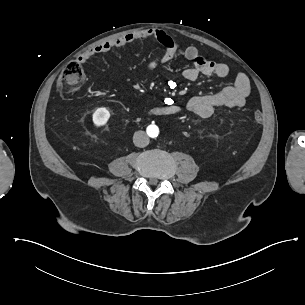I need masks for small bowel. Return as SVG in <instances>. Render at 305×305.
<instances>
[{
	"label": "small bowel",
	"mask_w": 305,
	"mask_h": 305,
	"mask_svg": "<svg viewBox=\"0 0 305 305\" xmlns=\"http://www.w3.org/2000/svg\"><path fill=\"white\" fill-rule=\"evenodd\" d=\"M149 38H154L164 47L162 53L147 63L146 68L149 71H153L179 56L192 62V65L183 72V77L187 81L193 82L201 75H215L219 78H226L230 73V69L226 64L204 57L194 46H181L168 33L159 29H146L127 33L112 40L102 42L86 52L79 53L78 58L81 61L90 60L95 55ZM250 91L251 87L248 77L245 74L239 73L236 75L232 85L214 93L191 97L186 102L184 108L201 118H207L219 107H243ZM159 109L165 114L173 115L181 112L183 107L177 104L171 97H168Z\"/></svg>",
	"instance_id": "c3829d8e"
}]
</instances>
